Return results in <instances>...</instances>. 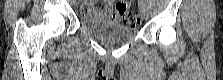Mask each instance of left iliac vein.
<instances>
[{"label":"left iliac vein","mask_w":223,"mask_h":80,"mask_svg":"<svg viewBox=\"0 0 223 80\" xmlns=\"http://www.w3.org/2000/svg\"><path fill=\"white\" fill-rule=\"evenodd\" d=\"M140 11L144 19L148 18L149 10L146 3L140 5Z\"/></svg>","instance_id":"left-iliac-vein-1"}]
</instances>
